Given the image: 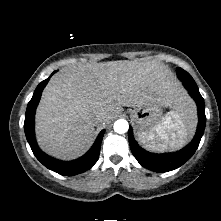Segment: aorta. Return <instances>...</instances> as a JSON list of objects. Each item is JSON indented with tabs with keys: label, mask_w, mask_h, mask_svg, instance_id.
I'll use <instances>...</instances> for the list:
<instances>
[{
	"label": "aorta",
	"mask_w": 221,
	"mask_h": 221,
	"mask_svg": "<svg viewBox=\"0 0 221 221\" xmlns=\"http://www.w3.org/2000/svg\"><path fill=\"white\" fill-rule=\"evenodd\" d=\"M128 128L129 124L124 119H119L114 123V131L119 134L126 133L128 131Z\"/></svg>",
	"instance_id": "1"
}]
</instances>
